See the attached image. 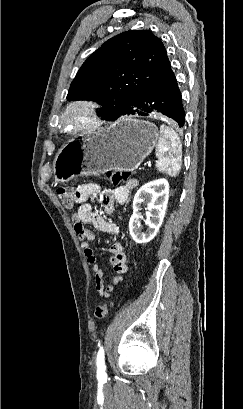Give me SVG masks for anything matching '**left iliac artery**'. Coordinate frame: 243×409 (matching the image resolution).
<instances>
[{"label": "left iliac artery", "mask_w": 243, "mask_h": 409, "mask_svg": "<svg viewBox=\"0 0 243 409\" xmlns=\"http://www.w3.org/2000/svg\"><path fill=\"white\" fill-rule=\"evenodd\" d=\"M96 364H97V378L99 380L105 379L106 378V365H105L103 347H100L97 353Z\"/></svg>", "instance_id": "left-iliac-artery-1"}]
</instances>
